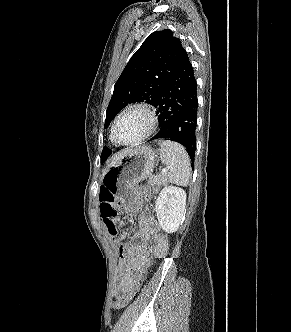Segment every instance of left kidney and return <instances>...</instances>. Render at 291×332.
<instances>
[{"label":"left kidney","mask_w":291,"mask_h":332,"mask_svg":"<svg viewBox=\"0 0 291 332\" xmlns=\"http://www.w3.org/2000/svg\"><path fill=\"white\" fill-rule=\"evenodd\" d=\"M186 193L176 186H165L156 200V214L161 228L174 233L185 213Z\"/></svg>","instance_id":"5707ae66"}]
</instances>
